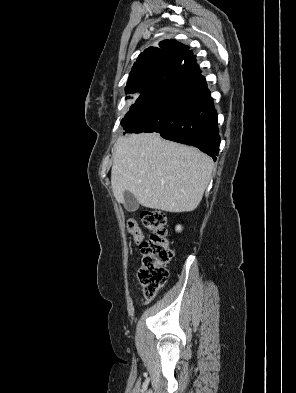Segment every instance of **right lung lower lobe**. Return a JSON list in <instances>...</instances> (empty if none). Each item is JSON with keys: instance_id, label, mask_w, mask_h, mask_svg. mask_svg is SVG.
Masks as SVG:
<instances>
[{"instance_id": "right-lung-lower-lobe-1", "label": "right lung lower lobe", "mask_w": 296, "mask_h": 393, "mask_svg": "<svg viewBox=\"0 0 296 393\" xmlns=\"http://www.w3.org/2000/svg\"><path fill=\"white\" fill-rule=\"evenodd\" d=\"M124 129L159 133L167 140L193 145L215 161L220 145L217 113L198 65L181 67L165 78L152 100Z\"/></svg>"}]
</instances>
